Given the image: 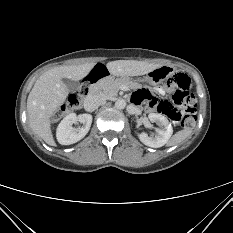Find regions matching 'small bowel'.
I'll use <instances>...</instances> for the list:
<instances>
[{
	"instance_id": "obj_1",
	"label": "small bowel",
	"mask_w": 233,
	"mask_h": 233,
	"mask_svg": "<svg viewBox=\"0 0 233 233\" xmlns=\"http://www.w3.org/2000/svg\"><path fill=\"white\" fill-rule=\"evenodd\" d=\"M156 92L158 94H164L165 93V89L163 87H157L156 88ZM152 95L148 92V91H145V90H140V91H137L133 96H132V100L134 103L138 104L140 103L141 101H147L148 103V109L153 111L155 110L150 102H151V99H152Z\"/></svg>"
}]
</instances>
